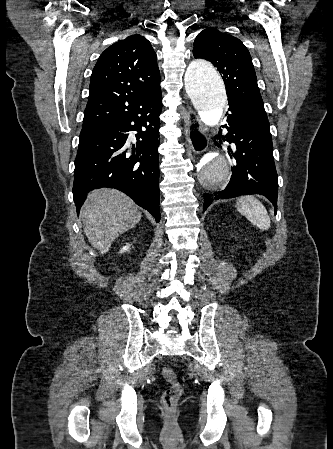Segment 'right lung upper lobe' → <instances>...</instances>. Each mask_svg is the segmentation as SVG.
Returning <instances> with one entry per match:
<instances>
[{
    "instance_id": "right-lung-upper-lobe-1",
    "label": "right lung upper lobe",
    "mask_w": 333,
    "mask_h": 449,
    "mask_svg": "<svg viewBox=\"0 0 333 449\" xmlns=\"http://www.w3.org/2000/svg\"><path fill=\"white\" fill-rule=\"evenodd\" d=\"M156 60L150 42L139 34L108 47L92 71L82 129L113 121L161 95Z\"/></svg>"
}]
</instances>
